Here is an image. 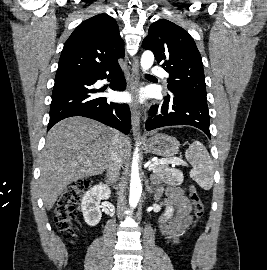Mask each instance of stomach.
<instances>
[{
    "label": "stomach",
    "mask_w": 267,
    "mask_h": 270,
    "mask_svg": "<svg viewBox=\"0 0 267 270\" xmlns=\"http://www.w3.org/2000/svg\"><path fill=\"white\" fill-rule=\"evenodd\" d=\"M144 148L147 152L171 158L179 152V141L170 135L156 133L146 140Z\"/></svg>",
    "instance_id": "0dacf381"
}]
</instances>
